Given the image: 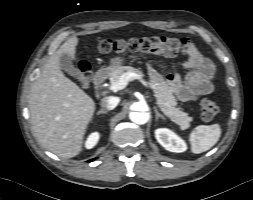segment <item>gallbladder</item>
I'll list each match as a JSON object with an SVG mask.
<instances>
[{
    "label": "gallbladder",
    "mask_w": 253,
    "mask_h": 200,
    "mask_svg": "<svg viewBox=\"0 0 253 200\" xmlns=\"http://www.w3.org/2000/svg\"><path fill=\"white\" fill-rule=\"evenodd\" d=\"M60 67L69 75L77 78L78 80L84 82L85 84L89 82V79L85 77L84 74L79 69L74 67L72 58L70 57V55L63 54L60 57Z\"/></svg>",
    "instance_id": "gallbladder-1"
}]
</instances>
